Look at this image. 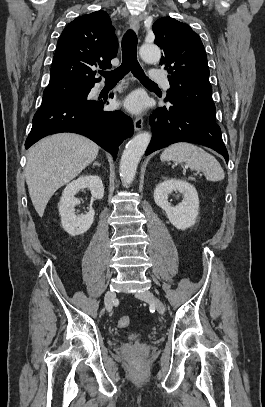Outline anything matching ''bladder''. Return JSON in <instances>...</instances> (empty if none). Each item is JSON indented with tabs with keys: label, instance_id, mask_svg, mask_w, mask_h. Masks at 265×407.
<instances>
[{
	"label": "bladder",
	"instance_id": "bladder-1",
	"mask_svg": "<svg viewBox=\"0 0 265 407\" xmlns=\"http://www.w3.org/2000/svg\"><path fill=\"white\" fill-rule=\"evenodd\" d=\"M142 336H143V333L137 332V333H134V334L130 335V338H131V339H139V338H141Z\"/></svg>",
	"mask_w": 265,
	"mask_h": 407
}]
</instances>
